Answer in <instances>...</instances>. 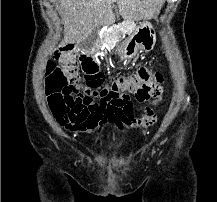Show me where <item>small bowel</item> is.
Returning <instances> with one entry per match:
<instances>
[{
  "label": "small bowel",
  "instance_id": "small-bowel-1",
  "mask_svg": "<svg viewBox=\"0 0 217 202\" xmlns=\"http://www.w3.org/2000/svg\"><path fill=\"white\" fill-rule=\"evenodd\" d=\"M92 66H97V65L93 62ZM103 89H104L103 85H85V90H103ZM94 96L100 97V92L95 93ZM142 116H155V115H154V113L153 114H145V112H144ZM104 141H109V136H104Z\"/></svg>",
  "mask_w": 217,
  "mask_h": 202
}]
</instances>
